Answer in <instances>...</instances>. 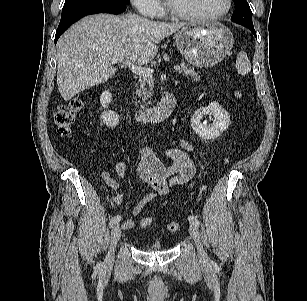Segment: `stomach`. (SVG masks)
Instances as JSON below:
<instances>
[{
	"instance_id": "stomach-1",
	"label": "stomach",
	"mask_w": 307,
	"mask_h": 301,
	"mask_svg": "<svg viewBox=\"0 0 307 301\" xmlns=\"http://www.w3.org/2000/svg\"><path fill=\"white\" fill-rule=\"evenodd\" d=\"M231 31L221 23H189L176 34V46L197 67H211L223 60L233 47Z\"/></svg>"
}]
</instances>
